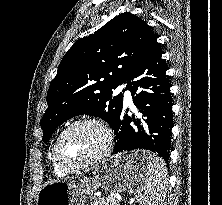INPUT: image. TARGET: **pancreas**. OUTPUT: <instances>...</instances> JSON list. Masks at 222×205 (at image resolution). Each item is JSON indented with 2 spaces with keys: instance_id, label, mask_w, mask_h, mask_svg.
Wrapping results in <instances>:
<instances>
[{
  "instance_id": "cf45deb5",
  "label": "pancreas",
  "mask_w": 222,
  "mask_h": 205,
  "mask_svg": "<svg viewBox=\"0 0 222 205\" xmlns=\"http://www.w3.org/2000/svg\"><path fill=\"white\" fill-rule=\"evenodd\" d=\"M90 205H119V201L113 196H107L94 199Z\"/></svg>"
}]
</instances>
